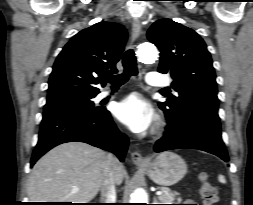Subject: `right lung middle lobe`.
I'll list each match as a JSON object with an SVG mask.
<instances>
[{
  "label": "right lung middle lobe",
  "instance_id": "1",
  "mask_svg": "<svg viewBox=\"0 0 253 205\" xmlns=\"http://www.w3.org/2000/svg\"><path fill=\"white\" fill-rule=\"evenodd\" d=\"M95 96L69 97L49 101L44 108L45 112L71 110L83 113H94L101 110V107H95L92 98Z\"/></svg>",
  "mask_w": 253,
  "mask_h": 205
}]
</instances>
